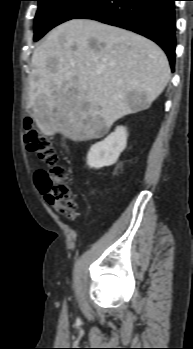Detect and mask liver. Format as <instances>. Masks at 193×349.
I'll list each match as a JSON object with an SVG mask.
<instances>
[{
	"mask_svg": "<svg viewBox=\"0 0 193 349\" xmlns=\"http://www.w3.org/2000/svg\"><path fill=\"white\" fill-rule=\"evenodd\" d=\"M28 108L47 136L98 139L128 114L148 109L170 79L151 40L93 20L53 29L31 59Z\"/></svg>",
	"mask_w": 193,
	"mask_h": 349,
	"instance_id": "6515ba94",
	"label": "liver"
}]
</instances>
